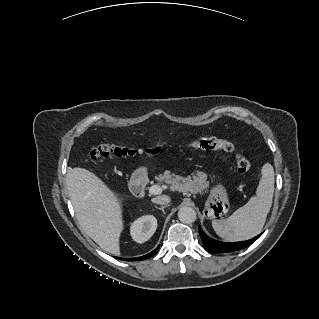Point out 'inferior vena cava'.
<instances>
[{"label":"inferior vena cava","instance_id":"602c4592","mask_svg":"<svg viewBox=\"0 0 319 319\" xmlns=\"http://www.w3.org/2000/svg\"><path fill=\"white\" fill-rule=\"evenodd\" d=\"M152 202L156 204H168L170 202V197L168 195H160L152 198Z\"/></svg>","mask_w":319,"mask_h":319}]
</instances>
